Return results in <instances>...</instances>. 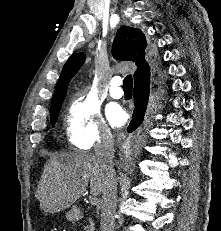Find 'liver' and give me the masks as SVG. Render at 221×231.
<instances>
[{
    "instance_id": "1",
    "label": "liver",
    "mask_w": 221,
    "mask_h": 231,
    "mask_svg": "<svg viewBox=\"0 0 221 231\" xmlns=\"http://www.w3.org/2000/svg\"><path fill=\"white\" fill-rule=\"evenodd\" d=\"M106 174L94 154L62 152L46 164L36 191L40 208L57 213L72 206L86 191L102 194Z\"/></svg>"
}]
</instances>
